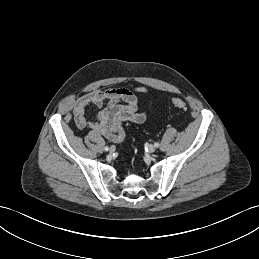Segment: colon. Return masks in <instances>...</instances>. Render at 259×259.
Instances as JSON below:
<instances>
[{
    "label": "colon",
    "instance_id": "1",
    "mask_svg": "<svg viewBox=\"0 0 259 259\" xmlns=\"http://www.w3.org/2000/svg\"><path fill=\"white\" fill-rule=\"evenodd\" d=\"M172 103H173V106L179 110H186L187 108L186 102L182 99L175 98L173 99Z\"/></svg>",
    "mask_w": 259,
    "mask_h": 259
}]
</instances>
